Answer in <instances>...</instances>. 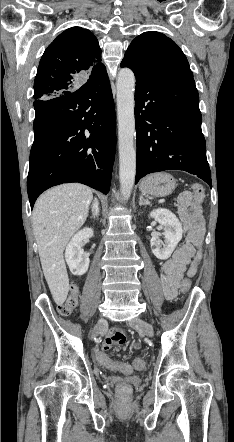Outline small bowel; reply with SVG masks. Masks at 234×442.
I'll use <instances>...</instances> for the list:
<instances>
[{
  "label": "small bowel",
  "instance_id": "c3829d8e",
  "mask_svg": "<svg viewBox=\"0 0 234 442\" xmlns=\"http://www.w3.org/2000/svg\"><path fill=\"white\" fill-rule=\"evenodd\" d=\"M177 212L183 223L188 242L176 249L172 257L163 263L161 279L164 295L168 300L176 296L179 283L185 274L190 277L195 275L198 261L195 259L193 245L200 244L204 229L203 208L192 200L189 192H185L179 197ZM124 341V333L111 330L101 344V348L109 351L113 345ZM134 347L139 349L141 344L136 342Z\"/></svg>",
  "mask_w": 234,
  "mask_h": 442
}]
</instances>
